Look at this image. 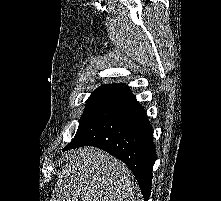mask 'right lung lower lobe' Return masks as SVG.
<instances>
[{
  "label": "right lung lower lobe",
  "instance_id": "1",
  "mask_svg": "<svg viewBox=\"0 0 221 201\" xmlns=\"http://www.w3.org/2000/svg\"><path fill=\"white\" fill-rule=\"evenodd\" d=\"M81 146L99 147L123 161L148 201L156 160L152 127L146 111L127 86L117 90L63 151Z\"/></svg>",
  "mask_w": 221,
  "mask_h": 201
}]
</instances>
